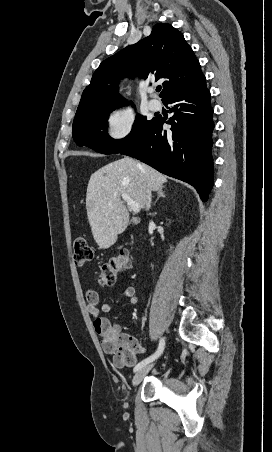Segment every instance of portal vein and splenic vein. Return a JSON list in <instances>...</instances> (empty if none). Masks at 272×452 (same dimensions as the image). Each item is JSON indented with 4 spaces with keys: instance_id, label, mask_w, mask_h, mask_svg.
<instances>
[{
    "instance_id": "portal-vein-and-splenic-vein-1",
    "label": "portal vein and splenic vein",
    "mask_w": 272,
    "mask_h": 452,
    "mask_svg": "<svg viewBox=\"0 0 272 452\" xmlns=\"http://www.w3.org/2000/svg\"><path fill=\"white\" fill-rule=\"evenodd\" d=\"M121 197L134 213H138L140 211L139 204L135 202L129 195H127L126 193H122Z\"/></svg>"
}]
</instances>
